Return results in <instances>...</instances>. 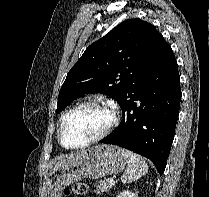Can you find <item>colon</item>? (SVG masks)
Here are the masks:
<instances>
[{"mask_svg": "<svg viewBox=\"0 0 209 197\" xmlns=\"http://www.w3.org/2000/svg\"><path fill=\"white\" fill-rule=\"evenodd\" d=\"M87 191V186L84 183H77L71 189L66 188L64 195L69 197L70 195H83Z\"/></svg>", "mask_w": 209, "mask_h": 197, "instance_id": "colon-1", "label": "colon"}]
</instances>
